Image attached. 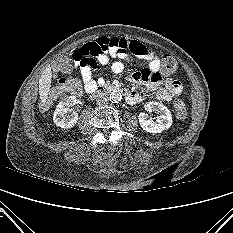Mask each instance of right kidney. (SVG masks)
Returning a JSON list of instances; mask_svg holds the SVG:
<instances>
[{
    "mask_svg": "<svg viewBox=\"0 0 233 233\" xmlns=\"http://www.w3.org/2000/svg\"><path fill=\"white\" fill-rule=\"evenodd\" d=\"M77 104L76 96H69L61 101L54 112L53 122L61 128H72L78 120V113L73 112L68 114L70 111L69 106Z\"/></svg>",
    "mask_w": 233,
    "mask_h": 233,
    "instance_id": "ca27d5eb",
    "label": "right kidney"
}]
</instances>
